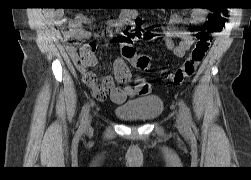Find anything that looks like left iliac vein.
Listing matches in <instances>:
<instances>
[{
  "instance_id": "4c4485c4",
  "label": "left iliac vein",
  "mask_w": 251,
  "mask_h": 180,
  "mask_svg": "<svg viewBox=\"0 0 251 180\" xmlns=\"http://www.w3.org/2000/svg\"><path fill=\"white\" fill-rule=\"evenodd\" d=\"M177 124L180 129H183L184 124H183V119H182L181 114H179L177 117Z\"/></svg>"
}]
</instances>
